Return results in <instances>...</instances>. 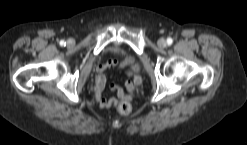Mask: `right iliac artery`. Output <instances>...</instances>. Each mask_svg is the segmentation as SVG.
<instances>
[{
	"label": "right iliac artery",
	"instance_id": "right-iliac-artery-1",
	"mask_svg": "<svg viewBox=\"0 0 247 145\" xmlns=\"http://www.w3.org/2000/svg\"><path fill=\"white\" fill-rule=\"evenodd\" d=\"M60 45H61V46H65V45H66V42H65L64 40H61V41H60Z\"/></svg>",
	"mask_w": 247,
	"mask_h": 145
}]
</instances>
